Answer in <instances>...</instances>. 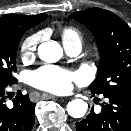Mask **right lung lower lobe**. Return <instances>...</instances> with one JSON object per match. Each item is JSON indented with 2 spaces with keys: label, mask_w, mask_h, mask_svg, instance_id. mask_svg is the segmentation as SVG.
I'll return each instance as SVG.
<instances>
[{
  "label": "right lung lower lobe",
  "mask_w": 131,
  "mask_h": 131,
  "mask_svg": "<svg viewBox=\"0 0 131 131\" xmlns=\"http://www.w3.org/2000/svg\"><path fill=\"white\" fill-rule=\"evenodd\" d=\"M15 83L16 81L0 85V131H31L36 104L30 101L28 94H18L13 102V108L6 105L5 89Z\"/></svg>",
  "instance_id": "1"
}]
</instances>
